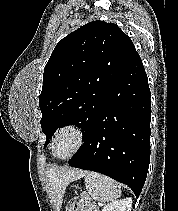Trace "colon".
Listing matches in <instances>:
<instances>
[{
    "mask_svg": "<svg viewBox=\"0 0 178 211\" xmlns=\"http://www.w3.org/2000/svg\"><path fill=\"white\" fill-rule=\"evenodd\" d=\"M68 211H78V208L71 206Z\"/></svg>",
    "mask_w": 178,
    "mask_h": 211,
    "instance_id": "colon-1",
    "label": "colon"
}]
</instances>
